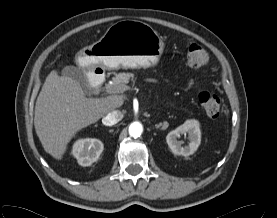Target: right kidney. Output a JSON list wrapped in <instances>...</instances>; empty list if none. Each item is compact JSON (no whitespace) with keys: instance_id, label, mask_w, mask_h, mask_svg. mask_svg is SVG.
<instances>
[{"instance_id":"obj_1","label":"right kidney","mask_w":277,"mask_h":218,"mask_svg":"<svg viewBox=\"0 0 277 218\" xmlns=\"http://www.w3.org/2000/svg\"><path fill=\"white\" fill-rule=\"evenodd\" d=\"M103 149V143L98 139H79L73 145L72 154L81 166L86 167L98 160Z\"/></svg>"}]
</instances>
